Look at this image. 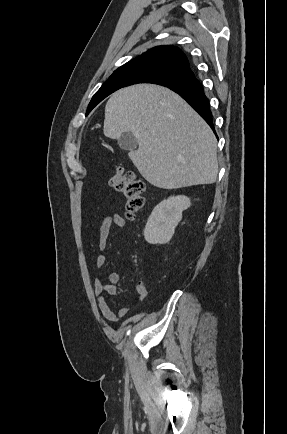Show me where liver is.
<instances>
[{
	"instance_id": "liver-1",
	"label": "liver",
	"mask_w": 287,
	"mask_h": 434,
	"mask_svg": "<svg viewBox=\"0 0 287 434\" xmlns=\"http://www.w3.org/2000/svg\"><path fill=\"white\" fill-rule=\"evenodd\" d=\"M131 132L139 144L129 154L153 186L177 189L217 179V140L208 124L177 93L139 84L112 94L105 107L104 135Z\"/></svg>"
}]
</instances>
